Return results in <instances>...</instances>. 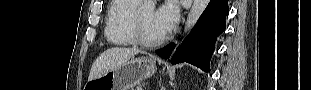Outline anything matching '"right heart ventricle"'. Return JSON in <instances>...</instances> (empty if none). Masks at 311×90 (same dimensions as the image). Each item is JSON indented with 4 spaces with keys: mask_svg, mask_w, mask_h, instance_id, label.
Segmentation results:
<instances>
[{
    "mask_svg": "<svg viewBox=\"0 0 311 90\" xmlns=\"http://www.w3.org/2000/svg\"><path fill=\"white\" fill-rule=\"evenodd\" d=\"M139 0H114L108 8L104 34L106 39L119 46L136 44L132 31V18Z\"/></svg>",
    "mask_w": 311,
    "mask_h": 90,
    "instance_id": "right-heart-ventricle-1",
    "label": "right heart ventricle"
}]
</instances>
